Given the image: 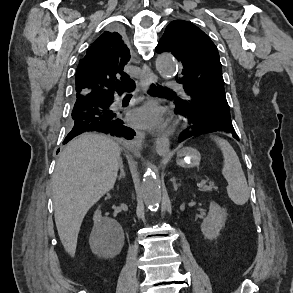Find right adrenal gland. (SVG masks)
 Segmentation results:
<instances>
[{"label":"right adrenal gland","mask_w":293,"mask_h":293,"mask_svg":"<svg viewBox=\"0 0 293 293\" xmlns=\"http://www.w3.org/2000/svg\"><path fill=\"white\" fill-rule=\"evenodd\" d=\"M120 175L118 176V180H121L122 178L125 177V172H124V166H123V162H120Z\"/></svg>","instance_id":"2a0ac1e0"}]
</instances>
